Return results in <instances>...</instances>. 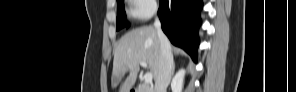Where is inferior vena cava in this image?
<instances>
[{
  "label": "inferior vena cava",
  "mask_w": 296,
  "mask_h": 92,
  "mask_svg": "<svg viewBox=\"0 0 296 92\" xmlns=\"http://www.w3.org/2000/svg\"><path fill=\"white\" fill-rule=\"evenodd\" d=\"M154 27L160 41V60L159 72L155 81L154 92H166L171 80V72L173 67V56L171 53L170 42L161 29V23L158 18L155 19Z\"/></svg>",
  "instance_id": "1"
}]
</instances>
